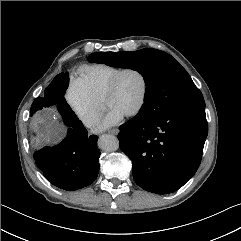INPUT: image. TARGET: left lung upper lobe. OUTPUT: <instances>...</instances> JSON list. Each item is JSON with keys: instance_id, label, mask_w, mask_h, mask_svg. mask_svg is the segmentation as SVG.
<instances>
[{"instance_id": "left-lung-upper-lobe-1", "label": "left lung upper lobe", "mask_w": 241, "mask_h": 241, "mask_svg": "<svg viewBox=\"0 0 241 241\" xmlns=\"http://www.w3.org/2000/svg\"><path fill=\"white\" fill-rule=\"evenodd\" d=\"M88 61L138 71L146 84L144 104L140 111L149 109L148 112L156 116L161 110L205 107L202 93L189 74L171 55L163 51L142 49L134 52H98L89 55ZM155 97L161 99L162 105L156 111V107L147 106V103H154Z\"/></svg>"}]
</instances>
